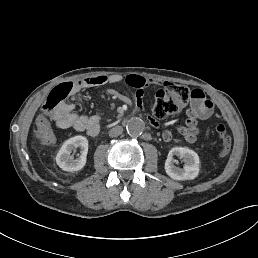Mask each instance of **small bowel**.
Masks as SVG:
<instances>
[{"instance_id": "c3829d8e", "label": "small bowel", "mask_w": 258, "mask_h": 258, "mask_svg": "<svg viewBox=\"0 0 258 258\" xmlns=\"http://www.w3.org/2000/svg\"><path fill=\"white\" fill-rule=\"evenodd\" d=\"M124 82L128 86L136 89V103L139 109L143 110L144 90L152 85L150 79L139 76L129 75L123 77L120 74L96 75L81 79L75 83V92L92 87H102L109 84ZM163 86V85H162ZM213 110V103L208 100L200 89H194L191 92L190 105L186 111L187 118L184 124L178 127V132L188 143H195L198 138L199 128L198 120L208 118ZM55 124L58 128H73L77 131H85L91 136L98 134L100 130V119L97 115H81L73 112L72 105L68 102L56 110L54 114ZM151 124L158 126V121L148 115ZM38 139L44 147H50L55 143V136L50 125L41 118L38 122ZM209 131H206L208 137ZM163 140L169 142L172 140V132L165 130L162 134Z\"/></svg>"}]
</instances>
